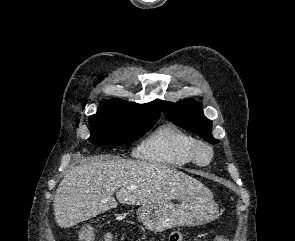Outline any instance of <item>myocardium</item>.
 <instances>
[{"label":"myocardium","mask_w":295,"mask_h":241,"mask_svg":"<svg viewBox=\"0 0 295 241\" xmlns=\"http://www.w3.org/2000/svg\"><path fill=\"white\" fill-rule=\"evenodd\" d=\"M192 156L196 164L207 166L214 158V149L209 143L198 141L193 148Z\"/></svg>","instance_id":"obj_1"}]
</instances>
